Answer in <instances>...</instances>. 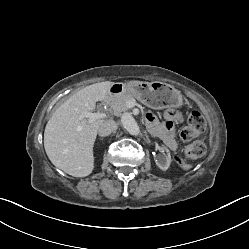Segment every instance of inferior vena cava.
Returning <instances> with one entry per match:
<instances>
[{
  "label": "inferior vena cava",
  "instance_id": "602c4592",
  "mask_svg": "<svg viewBox=\"0 0 249 249\" xmlns=\"http://www.w3.org/2000/svg\"><path fill=\"white\" fill-rule=\"evenodd\" d=\"M117 124L114 120H104L98 127V134L101 137L110 135L117 129Z\"/></svg>",
  "mask_w": 249,
  "mask_h": 249
}]
</instances>
